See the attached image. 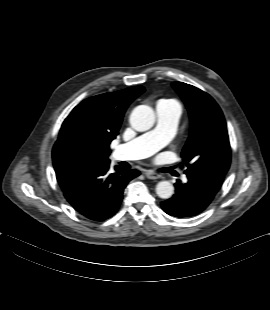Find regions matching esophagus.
<instances>
[{
    "mask_svg": "<svg viewBox=\"0 0 270 310\" xmlns=\"http://www.w3.org/2000/svg\"><path fill=\"white\" fill-rule=\"evenodd\" d=\"M145 175L148 179H153V180L159 179L161 177L158 173L153 172V171H146Z\"/></svg>",
    "mask_w": 270,
    "mask_h": 310,
    "instance_id": "1",
    "label": "esophagus"
}]
</instances>
